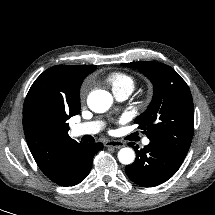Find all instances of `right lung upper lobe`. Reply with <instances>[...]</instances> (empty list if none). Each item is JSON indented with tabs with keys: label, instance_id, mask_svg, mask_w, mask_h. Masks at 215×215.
I'll return each mask as SVG.
<instances>
[{
	"label": "right lung upper lobe",
	"instance_id": "obj_1",
	"mask_svg": "<svg viewBox=\"0 0 215 215\" xmlns=\"http://www.w3.org/2000/svg\"><path fill=\"white\" fill-rule=\"evenodd\" d=\"M96 66L57 65L43 72L31 86L23 106V128L28 147L42 172L57 182L65 172L68 152L78 144L68 135L66 121L80 111L79 90ZM45 98L56 111L45 120L36 112L35 99Z\"/></svg>",
	"mask_w": 215,
	"mask_h": 215
}]
</instances>
